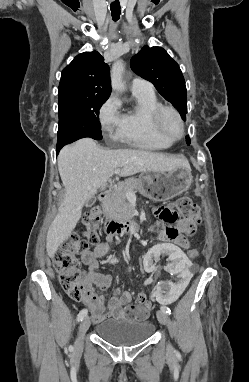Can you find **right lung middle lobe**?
Returning <instances> with one entry per match:
<instances>
[{
	"mask_svg": "<svg viewBox=\"0 0 249 382\" xmlns=\"http://www.w3.org/2000/svg\"><path fill=\"white\" fill-rule=\"evenodd\" d=\"M106 100L96 99L59 108L57 146H64L84 137L100 140L99 109Z\"/></svg>",
	"mask_w": 249,
	"mask_h": 382,
	"instance_id": "dd1d6c3e",
	"label": "right lung middle lobe"
}]
</instances>
